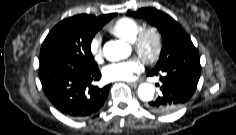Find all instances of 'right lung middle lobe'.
Returning <instances> with one entry per match:
<instances>
[{
	"instance_id": "obj_1",
	"label": "right lung middle lobe",
	"mask_w": 236,
	"mask_h": 135,
	"mask_svg": "<svg viewBox=\"0 0 236 135\" xmlns=\"http://www.w3.org/2000/svg\"><path fill=\"white\" fill-rule=\"evenodd\" d=\"M116 16L91 21L73 16L59 22L45 38L40 53V68L82 66L98 68L91 53V41L98 30Z\"/></svg>"
}]
</instances>
